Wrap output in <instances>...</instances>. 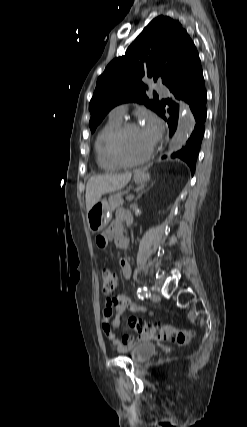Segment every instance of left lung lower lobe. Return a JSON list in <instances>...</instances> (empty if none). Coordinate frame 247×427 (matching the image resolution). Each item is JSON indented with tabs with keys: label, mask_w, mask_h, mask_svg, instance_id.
Segmentation results:
<instances>
[{
	"label": "left lung lower lobe",
	"mask_w": 247,
	"mask_h": 427,
	"mask_svg": "<svg viewBox=\"0 0 247 427\" xmlns=\"http://www.w3.org/2000/svg\"><path fill=\"white\" fill-rule=\"evenodd\" d=\"M172 92L170 99L166 103L169 105L168 113L170 116H165V109H162L159 115L168 123L170 136L175 132L178 122V103L177 100H185L191 108L196 124L194 130L187 140L186 144L177 152H174L171 157L185 161L192 174L195 170L196 159L199 154L201 142L204 135V122L206 120V101L207 94L204 86L203 71L199 57L194 61L189 70L173 83L167 86ZM165 103V104H166ZM164 104V105H165Z\"/></svg>",
	"instance_id": "obj_1"
}]
</instances>
